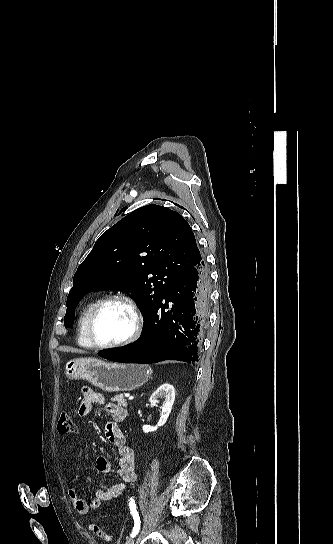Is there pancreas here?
I'll return each mask as SVG.
<instances>
[{"instance_id": "cf45deb5", "label": "pancreas", "mask_w": 333, "mask_h": 544, "mask_svg": "<svg viewBox=\"0 0 333 544\" xmlns=\"http://www.w3.org/2000/svg\"><path fill=\"white\" fill-rule=\"evenodd\" d=\"M111 400L113 402L118 403V405L120 406H123V407L127 406V402H126V399L123 397V394L116 395Z\"/></svg>"}]
</instances>
